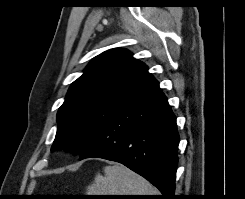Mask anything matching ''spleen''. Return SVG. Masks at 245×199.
I'll list each match as a JSON object with an SVG mask.
<instances>
[{
	"label": "spleen",
	"mask_w": 245,
	"mask_h": 199,
	"mask_svg": "<svg viewBox=\"0 0 245 199\" xmlns=\"http://www.w3.org/2000/svg\"><path fill=\"white\" fill-rule=\"evenodd\" d=\"M103 170L104 175L98 173L88 186L87 195H159L147 180L122 164Z\"/></svg>",
	"instance_id": "1"
}]
</instances>
